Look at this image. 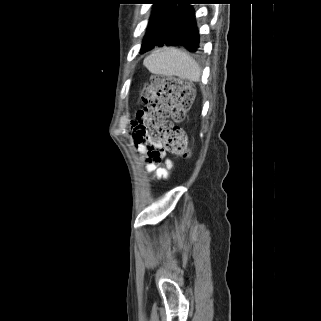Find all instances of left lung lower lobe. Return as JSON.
Here are the masks:
<instances>
[{"label":"left lung lower lobe","instance_id":"obj_1","mask_svg":"<svg viewBox=\"0 0 321 321\" xmlns=\"http://www.w3.org/2000/svg\"><path fill=\"white\" fill-rule=\"evenodd\" d=\"M200 0H180L177 8L170 17L163 37L141 50L142 53L156 46H183L189 51H199V32L196 25L195 11L190 4H197Z\"/></svg>","mask_w":321,"mask_h":321}]
</instances>
